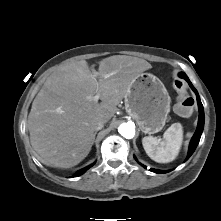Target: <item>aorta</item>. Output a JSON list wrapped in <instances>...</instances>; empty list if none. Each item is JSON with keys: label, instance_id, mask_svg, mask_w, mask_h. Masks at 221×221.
Here are the masks:
<instances>
[{"label": "aorta", "instance_id": "762f6f07", "mask_svg": "<svg viewBox=\"0 0 221 221\" xmlns=\"http://www.w3.org/2000/svg\"><path fill=\"white\" fill-rule=\"evenodd\" d=\"M118 132L126 139H132L135 135V125L132 122L123 123L119 126Z\"/></svg>", "mask_w": 221, "mask_h": 221}]
</instances>
